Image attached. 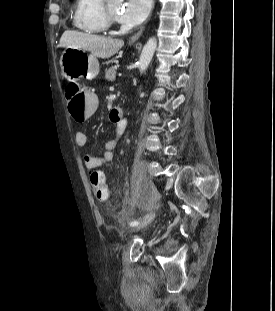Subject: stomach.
Wrapping results in <instances>:
<instances>
[{"label":"stomach","instance_id":"stomach-1","mask_svg":"<svg viewBox=\"0 0 275 311\" xmlns=\"http://www.w3.org/2000/svg\"><path fill=\"white\" fill-rule=\"evenodd\" d=\"M64 77L69 81H77L82 77L94 79L100 70L98 59L87 51L76 48H66L60 58Z\"/></svg>","mask_w":275,"mask_h":311}]
</instances>
